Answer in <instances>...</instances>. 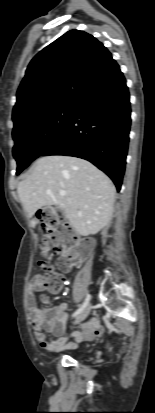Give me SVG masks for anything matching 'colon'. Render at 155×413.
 Masks as SVG:
<instances>
[{"mask_svg": "<svg viewBox=\"0 0 155 413\" xmlns=\"http://www.w3.org/2000/svg\"><path fill=\"white\" fill-rule=\"evenodd\" d=\"M35 215L39 218L40 246L46 261H43L45 288L50 292H59L63 285V275L55 266L48 263L52 251L63 248L59 259V269L67 270L76 260L83 258L88 252L85 243H79L71 228L62 222V212L57 207L37 208Z\"/></svg>", "mask_w": 155, "mask_h": 413, "instance_id": "1", "label": "colon"}]
</instances>
